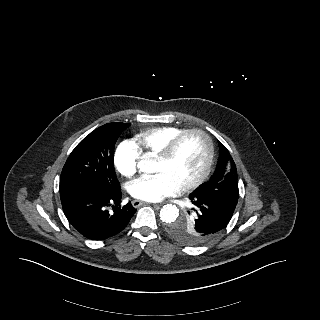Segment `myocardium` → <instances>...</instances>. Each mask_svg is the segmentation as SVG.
Listing matches in <instances>:
<instances>
[{"label":"myocardium","mask_w":320,"mask_h":320,"mask_svg":"<svg viewBox=\"0 0 320 320\" xmlns=\"http://www.w3.org/2000/svg\"><path fill=\"white\" fill-rule=\"evenodd\" d=\"M190 135H199L204 139L206 143V161L201 173L195 179L179 187V191L181 192H186L198 187L208 177L213 165L214 153H215L213 141L210 135L201 129H197V128L187 129L182 133H180L179 135H177L174 139H172L167 144V146L163 149V151L157 156L158 160L165 161V162L170 161L174 157L180 143L187 136H190Z\"/></svg>","instance_id":"f54148a6"}]
</instances>
